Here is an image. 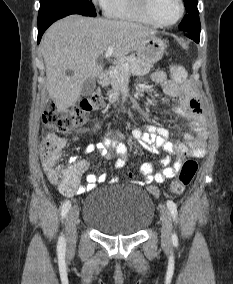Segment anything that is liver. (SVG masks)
I'll list each match as a JSON object with an SVG mask.
<instances>
[{"label":"liver","instance_id":"6515ba94","mask_svg":"<svg viewBox=\"0 0 233 284\" xmlns=\"http://www.w3.org/2000/svg\"><path fill=\"white\" fill-rule=\"evenodd\" d=\"M154 34L156 30L140 24L81 15H70L51 25L41 50L47 91L57 110L74 105L85 80L102 73L97 59L108 47L112 46V55L121 59L137 51ZM68 70L71 76L66 74Z\"/></svg>","mask_w":233,"mask_h":284}]
</instances>
